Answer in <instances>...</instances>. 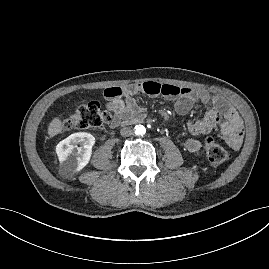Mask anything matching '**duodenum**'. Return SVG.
<instances>
[{
    "mask_svg": "<svg viewBox=\"0 0 269 269\" xmlns=\"http://www.w3.org/2000/svg\"><path fill=\"white\" fill-rule=\"evenodd\" d=\"M143 119L140 118V117H137V118H132V119H129V120H125L123 121V124L124 125H128V124H136V123H140L142 122Z\"/></svg>",
    "mask_w": 269,
    "mask_h": 269,
    "instance_id": "1",
    "label": "duodenum"
}]
</instances>
